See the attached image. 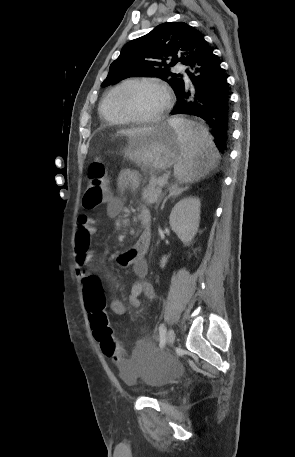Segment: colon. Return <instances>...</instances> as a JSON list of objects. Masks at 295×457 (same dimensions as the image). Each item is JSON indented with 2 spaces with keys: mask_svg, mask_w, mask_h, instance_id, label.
I'll return each instance as SVG.
<instances>
[{
  "mask_svg": "<svg viewBox=\"0 0 295 457\" xmlns=\"http://www.w3.org/2000/svg\"><path fill=\"white\" fill-rule=\"evenodd\" d=\"M110 198L107 171L104 163L98 159L92 161L88 168L87 188L83 196V207L94 209ZM85 302L90 313V322L95 339L105 355L112 357L113 363L126 360L127 352L121 350V343L116 342L108 315L105 311L102 280L90 277L84 283Z\"/></svg>",
  "mask_w": 295,
  "mask_h": 457,
  "instance_id": "5ec220e1",
  "label": "colon"
}]
</instances>
